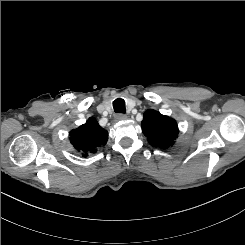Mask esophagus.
I'll return each instance as SVG.
<instances>
[{
    "label": "esophagus",
    "mask_w": 245,
    "mask_h": 245,
    "mask_svg": "<svg viewBox=\"0 0 245 245\" xmlns=\"http://www.w3.org/2000/svg\"><path fill=\"white\" fill-rule=\"evenodd\" d=\"M116 119L119 121L126 120L127 116L125 114L119 113L116 115Z\"/></svg>",
    "instance_id": "1"
}]
</instances>
